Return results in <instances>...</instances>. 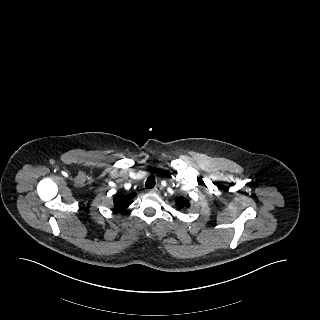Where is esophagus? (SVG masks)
Listing matches in <instances>:
<instances>
[{
	"instance_id": "esophagus-1",
	"label": "esophagus",
	"mask_w": 320,
	"mask_h": 320,
	"mask_svg": "<svg viewBox=\"0 0 320 320\" xmlns=\"http://www.w3.org/2000/svg\"><path fill=\"white\" fill-rule=\"evenodd\" d=\"M161 190L160 185H156L154 188L150 189V192L152 193H159Z\"/></svg>"
}]
</instances>
